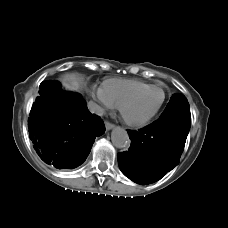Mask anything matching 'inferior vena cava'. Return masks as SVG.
Returning <instances> with one entry per match:
<instances>
[{"label": "inferior vena cava", "instance_id": "602c4592", "mask_svg": "<svg viewBox=\"0 0 228 228\" xmlns=\"http://www.w3.org/2000/svg\"><path fill=\"white\" fill-rule=\"evenodd\" d=\"M88 109L91 113L102 116L104 114V109L93 101L88 102Z\"/></svg>", "mask_w": 228, "mask_h": 228}]
</instances>
